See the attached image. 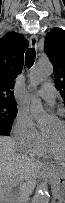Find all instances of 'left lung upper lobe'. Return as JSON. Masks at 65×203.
Listing matches in <instances>:
<instances>
[{"label":"left lung upper lobe","instance_id":"5c2ea615","mask_svg":"<svg viewBox=\"0 0 65 203\" xmlns=\"http://www.w3.org/2000/svg\"><path fill=\"white\" fill-rule=\"evenodd\" d=\"M45 52L54 67L56 88L65 101V31L51 30L45 37Z\"/></svg>","mask_w":65,"mask_h":203}]
</instances>
